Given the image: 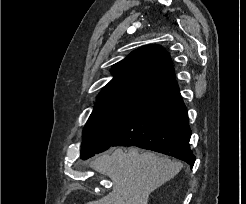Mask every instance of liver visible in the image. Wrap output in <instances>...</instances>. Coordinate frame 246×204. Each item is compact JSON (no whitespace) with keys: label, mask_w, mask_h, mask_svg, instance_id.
<instances>
[{"label":"liver","mask_w":246,"mask_h":204,"mask_svg":"<svg viewBox=\"0 0 246 204\" xmlns=\"http://www.w3.org/2000/svg\"><path fill=\"white\" fill-rule=\"evenodd\" d=\"M90 167L108 176L113 189L86 204H147L150 193L177 175L182 164L132 147L126 152L118 148L112 154L99 156Z\"/></svg>","instance_id":"6515ba94"}]
</instances>
